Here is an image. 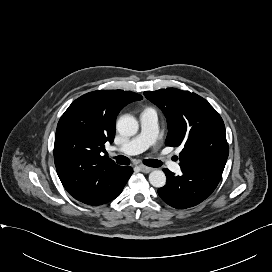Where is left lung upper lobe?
I'll return each mask as SVG.
<instances>
[{
    "label": "left lung upper lobe",
    "instance_id": "5c2ea615",
    "mask_svg": "<svg viewBox=\"0 0 272 272\" xmlns=\"http://www.w3.org/2000/svg\"><path fill=\"white\" fill-rule=\"evenodd\" d=\"M144 95L167 118L165 144L183 147L181 167L224 170L229 154L224 122L204 98L176 88L146 91Z\"/></svg>",
    "mask_w": 272,
    "mask_h": 272
}]
</instances>
